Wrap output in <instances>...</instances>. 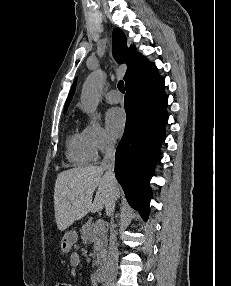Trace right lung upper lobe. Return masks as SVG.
Masks as SVG:
<instances>
[{
	"label": "right lung upper lobe",
	"mask_w": 231,
	"mask_h": 286,
	"mask_svg": "<svg viewBox=\"0 0 231 286\" xmlns=\"http://www.w3.org/2000/svg\"><path fill=\"white\" fill-rule=\"evenodd\" d=\"M113 54L118 63H126L127 71L124 76L125 84L134 78H137L141 75L151 72L156 69L153 64H149L147 59L135 53V47H127L126 37L121 29L117 28L113 31ZM76 86V80L74 81L70 94L66 100L64 112L67 111V108L70 104V101L73 97Z\"/></svg>",
	"instance_id": "right-lung-upper-lobe-1"
}]
</instances>
